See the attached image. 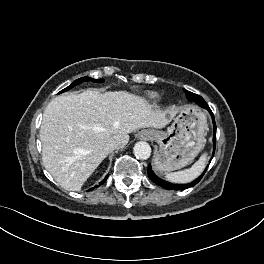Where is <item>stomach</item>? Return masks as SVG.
<instances>
[{
  "label": "stomach",
  "instance_id": "0dacf381",
  "mask_svg": "<svg viewBox=\"0 0 264 264\" xmlns=\"http://www.w3.org/2000/svg\"><path fill=\"white\" fill-rule=\"evenodd\" d=\"M206 115L195 106L183 107L167 131H147L153 135L159 150L154 165L159 171H173L186 166L201 151Z\"/></svg>",
  "mask_w": 264,
  "mask_h": 264
}]
</instances>
